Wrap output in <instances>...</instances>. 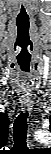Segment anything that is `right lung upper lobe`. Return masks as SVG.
I'll use <instances>...</instances> for the list:
<instances>
[{
  "label": "right lung upper lobe",
  "mask_w": 51,
  "mask_h": 154,
  "mask_svg": "<svg viewBox=\"0 0 51 154\" xmlns=\"http://www.w3.org/2000/svg\"><path fill=\"white\" fill-rule=\"evenodd\" d=\"M5 117H6V120H5V121L8 122V117H7V116H5ZM5 117H4V118H5Z\"/></svg>",
  "instance_id": "1"
}]
</instances>
